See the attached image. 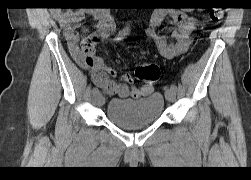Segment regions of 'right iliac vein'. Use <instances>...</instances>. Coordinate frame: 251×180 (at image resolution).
I'll list each match as a JSON object with an SVG mask.
<instances>
[{
  "label": "right iliac vein",
  "mask_w": 251,
  "mask_h": 180,
  "mask_svg": "<svg viewBox=\"0 0 251 180\" xmlns=\"http://www.w3.org/2000/svg\"><path fill=\"white\" fill-rule=\"evenodd\" d=\"M93 101L96 106H102L104 104V97L101 93H98L93 96Z\"/></svg>",
  "instance_id": "1"
}]
</instances>
